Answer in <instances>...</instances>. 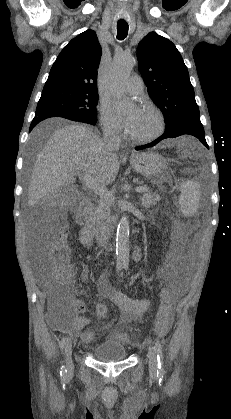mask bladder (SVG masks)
I'll return each instance as SVG.
<instances>
[{
  "label": "bladder",
  "instance_id": "1",
  "mask_svg": "<svg viewBox=\"0 0 231 419\" xmlns=\"http://www.w3.org/2000/svg\"><path fill=\"white\" fill-rule=\"evenodd\" d=\"M93 357L100 362H118L127 359L128 351L120 341L109 339L100 342L95 347Z\"/></svg>",
  "mask_w": 231,
  "mask_h": 419
}]
</instances>
